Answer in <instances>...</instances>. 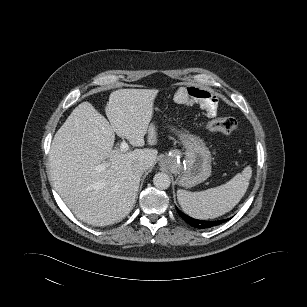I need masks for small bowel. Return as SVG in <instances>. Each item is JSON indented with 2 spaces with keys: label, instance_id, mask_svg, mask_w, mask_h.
Segmentation results:
<instances>
[{
  "label": "small bowel",
  "instance_id": "small-bowel-1",
  "mask_svg": "<svg viewBox=\"0 0 307 307\" xmlns=\"http://www.w3.org/2000/svg\"><path fill=\"white\" fill-rule=\"evenodd\" d=\"M175 100L180 104L200 103L204 114L208 117H214L217 112L216 100L206 89L195 86L183 87L176 92Z\"/></svg>",
  "mask_w": 307,
  "mask_h": 307
}]
</instances>
